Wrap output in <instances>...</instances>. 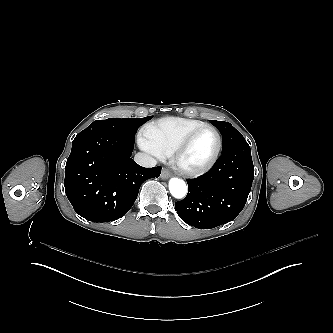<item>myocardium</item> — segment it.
I'll return each mask as SVG.
<instances>
[{
	"instance_id": "obj_1",
	"label": "myocardium",
	"mask_w": 333,
	"mask_h": 333,
	"mask_svg": "<svg viewBox=\"0 0 333 333\" xmlns=\"http://www.w3.org/2000/svg\"><path fill=\"white\" fill-rule=\"evenodd\" d=\"M204 129H211L216 135L217 148H216L214 155L209 160V162L203 166L195 167V168H187V167L181 166L179 161H180L182 154L188 147V145L191 142V140L193 139V137ZM221 150H222V137H221L219 131L213 125L204 124L202 126H199V127H196L194 129L190 130L188 133H186L181 138V140L178 142V144L176 145V147L174 148V150L172 151V153L170 155V165H171L172 169L180 175L187 176V177H198V176L205 174L206 172H208L209 170H211L214 167V165L217 163V161L219 159Z\"/></svg>"
}]
</instances>
